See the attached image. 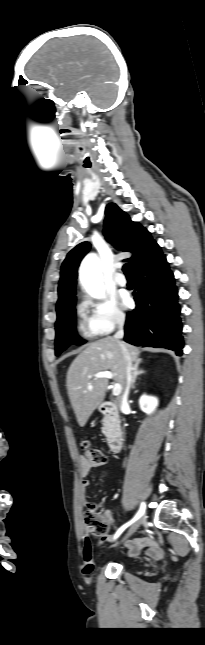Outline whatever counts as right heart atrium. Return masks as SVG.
Segmentation results:
<instances>
[{
	"label": "right heart atrium",
	"mask_w": 205,
	"mask_h": 645,
	"mask_svg": "<svg viewBox=\"0 0 205 645\" xmlns=\"http://www.w3.org/2000/svg\"><path fill=\"white\" fill-rule=\"evenodd\" d=\"M80 312L85 316L87 331L92 336H106L126 323V315L112 298L84 299Z\"/></svg>",
	"instance_id": "1"
}]
</instances>
